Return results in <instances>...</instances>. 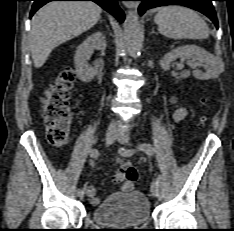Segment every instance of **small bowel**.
I'll return each mask as SVG.
<instances>
[{"label": "small bowel", "mask_w": 234, "mask_h": 231, "mask_svg": "<svg viewBox=\"0 0 234 231\" xmlns=\"http://www.w3.org/2000/svg\"><path fill=\"white\" fill-rule=\"evenodd\" d=\"M172 102L175 103V99H172ZM186 115H187V110L184 107L178 105L174 106L173 118L176 122L182 121L186 117ZM132 189H133V182L122 181L120 186V191L127 193L130 192ZM86 193L92 204L97 205L101 202V198L97 195L96 188L94 185H87Z\"/></svg>", "instance_id": "obj_1"}]
</instances>
